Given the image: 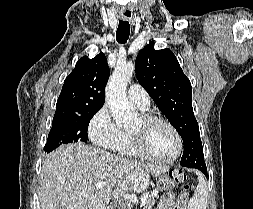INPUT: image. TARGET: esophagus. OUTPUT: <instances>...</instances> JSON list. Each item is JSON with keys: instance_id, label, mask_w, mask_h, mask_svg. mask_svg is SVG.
Segmentation results:
<instances>
[{"instance_id": "1", "label": "esophagus", "mask_w": 253, "mask_h": 209, "mask_svg": "<svg viewBox=\"0 0 253 209\" xmlns=\"http://www.w3.org/2000/svg\"><path fill=\"white\" fill-rule=\"evenodd\" d=\"M120 15L124 20H131L133 18L132 11H123L120 13Z\"/></svg>"}]
</instances>
